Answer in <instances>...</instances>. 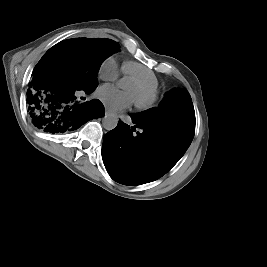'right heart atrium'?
<instances>
[{
	"label": "right heart atrium",
	"instance_id": "right-heart-atrium-1",
	"mask_svg": "<svg viewBox=\"0 0 267 267\" xmlns=\"http://www.w3.org/2000/svg\"><path fill=\"white\" fill-rule=\"evenodd\" d=\"M114 59H107L101 67V76L105 79L114 80L118 77V70L114 66Z\"/></svg>",
	"mask_w": 267,
	"mask_h": 267
}]
</instances>
